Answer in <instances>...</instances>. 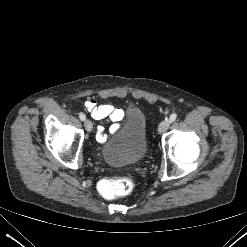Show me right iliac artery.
Returning a JSON list of instances; mask_svg holds the SVG:
<instances>
[{
	"mask_svg": "<svg viewBox=\"0 0 247 247\" xmlns=\"http://www.w3.org/2000/svg\"><path fill=\"white\" fill-rule=\"evenodd\" d=\"M79 118H80L81 121H84L86 119V116H85V114L80 113L79 114Z\"/></svg>",
	"mask_w": 247,
	"mask_h": 247,
	"instance_id": "obj_1",
	"label": "right iliac artery"
}]
</instances>
